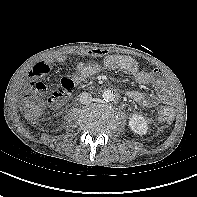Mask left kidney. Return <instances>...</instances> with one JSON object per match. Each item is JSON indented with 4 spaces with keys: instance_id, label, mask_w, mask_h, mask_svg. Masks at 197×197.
<instances>
[{
    "instance_id": "left-kidney-1",
    "label": "left kidney",
    "mask_w": 197,
    "mask_h": 197,
    "mask_svg": "<svg viewBox=\"0 0 197 197\" xmlns=\"http://www.w3.org/2000/svg\"><path fill=\"white\" fill-rule=\"evenodd\" d=\"M129 126L133 132L139 135L147 133L148 124L142 115L134 114L129 118Z\"/></svg>"
}]
</instances>
